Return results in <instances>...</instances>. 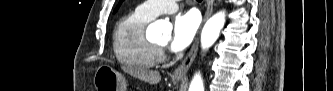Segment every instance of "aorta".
Returning a JSON list of instances; mask_svg holds the SVG:
<instances>
[{
  "label": "aorta",
  "instance_id": "1",
  "mask_svg": "<svg viewBox=\"0 0 333 91\" xmlns=\"http://www.w3.org/2000/svg\"><path fill=\"white\" fill-rule=\"evenodd\" d=\"M225 24V12L220 11L214 14L204 25L201 33V47L203 50L211 47L218 39L220 31ZM171 30V25L163 20H158L148 27V31L154 37H159L162 32L164 37ZM189 91H204V84L200 73H196L189 86Z\"/></svg>",
  "mask_w": 333,
  "mask_h": 91
}]
</instances>
